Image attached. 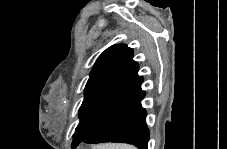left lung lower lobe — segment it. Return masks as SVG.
Masks as SVG:
<instances>
[{
	"instance_id": "obj_1",
	"label": "left lung lower lobe",
	"mask_w": 227,
	"mask_h": 149,
	"mask_svg": "<svg viewBox=\"0 0 227 149\" xmlns=\"http://www.w3.org/2000/svg\"><path fill=\"white\" fill-rule=\"evenodd\" d=\"M142 82L143 77L136 73L126 91L82 143L121 142L147 149L149 130L146 111L141 105L145 96L141 89Z\"/></svg>"
}]
</instances>
